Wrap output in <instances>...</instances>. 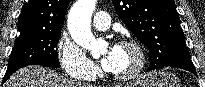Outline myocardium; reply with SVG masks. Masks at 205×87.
Listing matches in <instances>:
<instances>
[{"label": "myocardium", "mask_w": 205, "mask_h": 87, "mask_svg": "<svg viewBox=\"0 0 205 87\" xmlns=\"http://www.w3.org/2000/svg\"><path fill=\"white\" fill-rule=\"evenodd\" d=\"M117 46L127 47L133 49L138 57L136 66L129 72L124 74L109 72V76L118 81H129L136 78L145 68L146 65V53L143 46L132 39H124L117 43Z\"/></svg>", "instance_id": "1"}]
</instances>
